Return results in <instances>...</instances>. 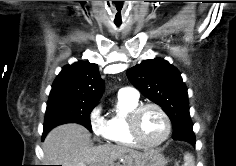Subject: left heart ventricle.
<instances>
[{
	"instance_id": "b2bd125f",
	"label": "left heart ventricle",
	"mask_w": 236,
	"mask_h": 166,
	"mask_svg": "<svg viewBox=\"0 0 236 166\" xmlns=\"http://www.w3.org/2000/svg\"><path fill=\"white\" fill-rule=\"evenodd\" d=\"M139 132L148 143L159 141L165 133V122L161 114L152 108L145 110L139 119Z\"/></svg>"
}]
</instances>
